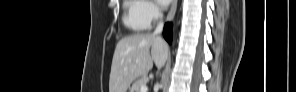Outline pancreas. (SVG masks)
I'll use <instances>...</instances> for the list:
<instances>
[{
	"mask_svg": "<svg viewBox=\"0 0 296 92\" xmlns=\"http://www.w3.org/2000/svg\"><path fill=\"white\" fill-rule=\"evenodd\" d=\"M148 81V77L146 75L141 76L138 78L132 85L130 92H141V86L145 85Z\"/></svg>",
	"mask_w": 296,
	"mask_h": 92,
	"instance_id": "cf45deb5",
	"label": "pancreas"
}]
</instances>
